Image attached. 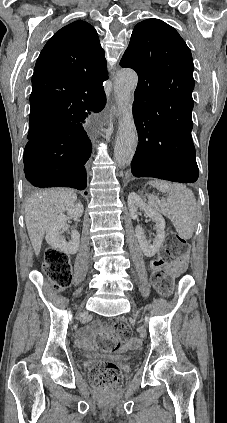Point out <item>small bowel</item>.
<instances>
[{
    "label": "small bowel",
    "mask_w": 227,
    "mask_h": 423,
    "mask_svg": "<svg viewBox=\"0 0 227 423\" xmlns=\"http://www.w3.org/2000/svg\"><path fill=\"white\" fill-rule=\"evenodd\" d=\"M184 267H185V262H184V259H181L179 262H177L176 264H175V266H174V268L176 269V270H178V271H180V270H182V269H184ZM88 335H89V329L88 328H85V329H82L81 331H80V333H79V335H78V338H77V342H78V344L80 345V346H86L87 345V339H88Z\"/></svg>",
    "instance_id": "c3829d8e"
}]
</instances>
